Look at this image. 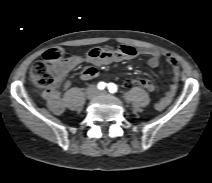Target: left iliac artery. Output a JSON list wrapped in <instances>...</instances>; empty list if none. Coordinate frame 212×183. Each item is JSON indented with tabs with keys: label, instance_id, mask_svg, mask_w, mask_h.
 Here are the masks:
<instances>
[{
	"label": "left iliac artery",
	"instance_id": "1",
	"mask_svg": "<svg viewBox=\"0 0 212 183\" xmlns=\"http://www.w3.org/2000/svg\"><path fill=\"white\" fill-rule=\"evenodd\" d=\"M108 89L111 93H115L117 91V86L114 83H109Z\"/></svg>",
	"mask_w": 212,
	"mask_h": 183
}]
</instances>
